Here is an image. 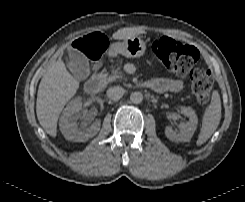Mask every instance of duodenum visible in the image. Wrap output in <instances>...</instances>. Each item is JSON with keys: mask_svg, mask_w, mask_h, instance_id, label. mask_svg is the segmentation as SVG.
<instances>
[{"mask_svg": "<svg viewBox=\"0 0 245 202\" xmlns=\"http://www.w3.org/2000/svg\"><path fill=\"white\" fill-rule=\"evenodd\" d=\"M106 84V75L104 73H99L94 78L90 79L86 83V91L90 95L99 94Z\"/></svg>", "mask_w": 245, "mask_h": 202, "instance_id": "410a0bca", "label": "duodenum"}]
</instances>
